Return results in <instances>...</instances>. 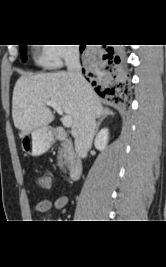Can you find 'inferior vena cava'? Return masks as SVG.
Masks as SVG:
<instances>
[{
    "instance_id": "obj_1",
    "label": "inferior vena cava",
    "mask_w": 166,
    "mask_h": 267,
    "mask_svg": "<svg viewBox=\"0 0 166 267\" xmlns=\"http://www.w3.org/2000/svg\"><path fill=\"white\" fill-rule=\"evenodd\" d=\"M67 72L75 86L83 93V105L78 131L75 135V150L84 158L92 145L95 136L96 120L93 113V102L90 86L82 76L78 48H72L65 58Z\"/></svg>"
}]
</instances>
